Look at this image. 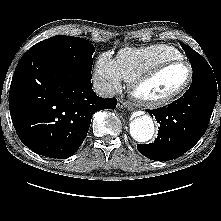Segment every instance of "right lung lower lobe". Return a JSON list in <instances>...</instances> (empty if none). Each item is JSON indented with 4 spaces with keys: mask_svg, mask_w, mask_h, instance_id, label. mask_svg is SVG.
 Here are the masks:
<instances>
[{
    "mask_svg": "<svg viewBox=\"0 0 221 221\" xmlns=\"http://www.w3.org/2000/svg\"><path fill=\"white\" fill-rule=\"evenodd\" d=\"M91 78V72L28 50L9 92L11 118L23 144L50 158L72 156L88 133L92 115L117 105L116 98L95 94Z\"/></svg>",
    "mask_w": 221,
    "mask_h": 221,
    "instance_id": "right-lung-lower-lobe-1",
    "label": "right lung lower lobe"
}]
</instances>
